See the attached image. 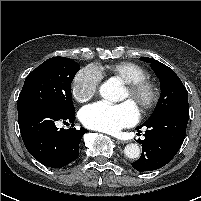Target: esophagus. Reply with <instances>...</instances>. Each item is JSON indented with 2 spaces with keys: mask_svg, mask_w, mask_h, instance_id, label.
I'll return each mask as SVG.
<instances>
[{
  "mask_svg": "<svg viewBox=\"0 0 201 201\" xmlns=\"http://www.w3.org/2000/svg\"><path fill=\"white\" fill-rule=\"evenodd\" d=\"M117 143L118 144H125V143H127V141H125V140H121V139H117Z\"/></svg>",
  "mask_w": 201,
  "mask_h": 201,
  "instance_id": "obj_1",
  "label": "esophagus"
}]
</instances>
